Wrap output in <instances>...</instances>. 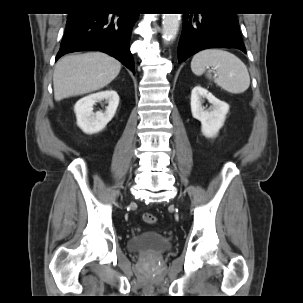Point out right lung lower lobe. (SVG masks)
I'll return each mask as SVG.
<instances>
[{
    "instance_id": "98d812e1",
    "label": "right lung lower lobe",
    "mask_w": 303,
    "mask_h": 303,
    "mask_svg": "<svg viewBox=\"0 0 303 303\" xmlns=\"http://www.w3.org/2000/svg\"><path fill=\"white\" fill-rule=\"evenodd\" d=\"M137 13L113 14L84 8L70 13L56 61L67 53L84 50L105 52L135 71L129 41Z\"/></svg>"
}]
</instances>
